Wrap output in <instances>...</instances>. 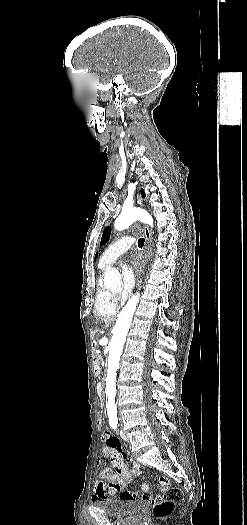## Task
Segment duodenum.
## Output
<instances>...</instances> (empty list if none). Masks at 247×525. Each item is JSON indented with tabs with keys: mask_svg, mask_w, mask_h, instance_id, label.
<instances>
[{
	"mask_svg": "<svg viewBox=\"0 0 247 525\" xmlns=\"http://www.w3.org/2000/svg\"><path fill=\"white\" fill-rule=\"evenodd\" d=\"M93 370H94L95 375H99V374H100V372H101V366H100V364H99L98 361H95V362H94ZM97 393H98V395H99L100 398H103V397H104L103 386L100 385V384L97 386Z\"/></svg>",
	"mask_w": 247,
	"mask_h": 525,
	"instance_id": "obj_1",
	"label": "duodenum"
}]
</instances>
